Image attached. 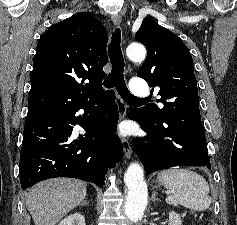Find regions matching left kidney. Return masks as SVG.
Masks as SVG:
<instances>
[{"label": "left kidney", "mask_w": 237, "mask_h": 225, "mask_svg": "<svg viewBox=\"0 0 237 225\" xmlns=\"http://www.w3.org/2000/svg\"><path fill=\"white\" fill-rule=\"evenodd\" d=\"M168 225H182L180 215L174 211L169 212V224Z\"/></svg>", "instance_id": "1"}]
</instances>
